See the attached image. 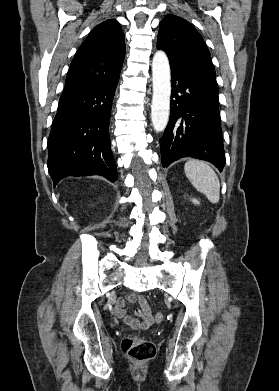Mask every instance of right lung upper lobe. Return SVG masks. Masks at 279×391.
I'll list each match as a JSON object with an SVG mask.
<instances>
[{"mask_svg":"<svg viewBox=\"0 0 279 391\" xmlns=\"http://www.w3.org/2000/svg\"><path fill=\"white\" fill-rule=\"evenodd\" d=\"M124 39L116 20L97 25L71 62L63 94L92 88L117 77L125 57Z\"/></svg>","mask_w":279,"mask_h":391,"instance_id":"right-lung-upper-lobe-1","label":"right lung upper lobe"}]
</instances>
